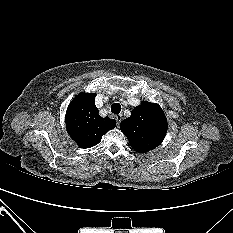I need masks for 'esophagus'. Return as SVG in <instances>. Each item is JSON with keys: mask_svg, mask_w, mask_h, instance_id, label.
I'll use <instances>...</instances> for the list:
<instances>
[{"mask_svg": "<svg viewBox=\"0 0 233 233\" xmlns=\"http://www.w3.org/2000/svg\"><path fill=\"white\" fill-rule=\"evenodd\" d=\"M115 119H116L117 126H119L122 121V115H117Z\"/></svg>", "mask_w": 233, "mask_h": 233, "instance_id": "esophagus-1", "label": "esophagus"}]
</instances>
